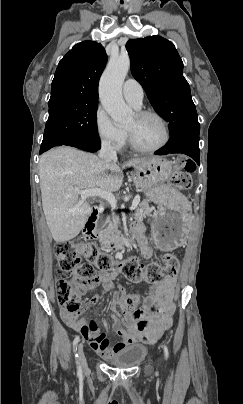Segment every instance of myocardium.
Masks as SVG:
<instances>
[{
	"mask_svg": "<svg viewBox=\"0 0 243 404\" xmlns=\"http://www.w3.org/2000/svg\"><path fill=\"white\" fill-rule=\"evenodd\" d=\"M129 34H135L134 32H129ZM136 116H146V115H154L156 116L163 124L164 126V130H165V138L163 140L162 143H160L157 146L154 147H144L142 145H140L131 135V133L125 129L129 143L131 145V147L139 152H144V153H154L157 151H160L162 149H164L170 142L171 140V128H170V124L168 122V120L165 118V116L160 113L159 111L155 110V109H151V108H146V109H139L135 112Z\"/></svg>",
	"mask_w": 243,
	"mask_h": 404,
	"instance_id": "f54148a6",
	"label": "myocardium"
}]
</instances>
